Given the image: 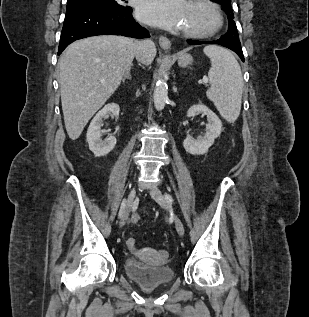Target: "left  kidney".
Listing matches in <instances>:
<instances>
[{
    "instance_id": "left-kidney-1",
    "label": "left kidney",
    "mask_w": 309,
    "mask_h": 317,
    "mask_svg": "<svg viewBox=\"0 0 309 317\" xmlns=\"http://www.w3.org/2000/svg\"><path fill=\"white\" fill-rule=\"evenodd\" d=\"M198 114L207 116L208 123L206 124V132L203 137L194 139L187 136L183 142V147L186 152L192 155H203L207 153L209 147L214 143V140L220 136L222 132V123L218 116L203 104L193 105L187 111V117H194Z\"/></svg>"
}]
</instances>
